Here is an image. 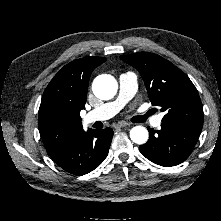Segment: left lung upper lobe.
Returning <instances> with one entry per match:
<instances>
[{"instance_id":"1","label":"left lung upper lobe","mask_w":221,"mask_h":221,"mask_svg":"<svg viewBox=\"0 0 221 221\" xmlns=\"http://www.w3.org/2000/svg\"><path fill=\"white\" fill-rule=\"evenodd\" d=\"M120 58L141 74L153 105L165 112L162 123L203 126L204 114L197 89L188 76L161 56L149 52Z\"/></svg>"}]
</instances>
